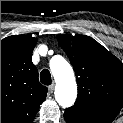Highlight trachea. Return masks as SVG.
Segmentation results:
<instances>
[{
	"label": "trachea",
	"mask_w": 123,
	"mask_h": 123,
	"mask_svg": "<svg viewBox=\"0 0 123 123\" xmlns=\"http://www.w3.org/2000/svg\"><path fill=\"white\" fill-rule=\"evenodd\" d=\"M40 80L41 83L45 84V85H50L51 84V74L47 69H44L41 71L40 73Z\"/></svg>",
	"instance_id": "1"
}]
</instances>
